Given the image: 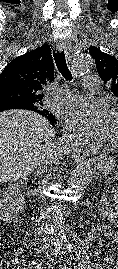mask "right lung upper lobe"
I'll return each instance as SVG.
<instances>
[{
  "label": "right lung upper lobe",
  "mask_w": 118,
  "mask_h": 269,
  "mask_svg": "<svg viewBox=\"0 0 118 269\" xmlns=\"http://www.w3.org/2000/svg\"><path fill=\"white\" fill-rule=\"evenodd\" d=\"M53 75L54 63L48 44L16 57L0 74V105L16 103L14 96L34 99L38 105L28 107L54 124L55 117L41 107L44 88Z\"/></svg>",
  "instance_id": "1"
}]
</instances>
